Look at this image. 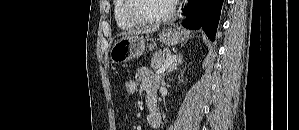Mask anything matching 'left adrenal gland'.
<instances>
[{"label":"left adrenal gland","mask_w":299,"mask_h":130,"mask_svg":"<svg viewBox=\"0 0 299 130\" xmlns=\"http://www.w3.org/2000/svg\"><path fill=\"white\" fill-rule=\"evenodd\" d=\"M182 60H183V58H182L181 55L176 56L174 62L169 67V69L166 71V74H169L170 72H172L173 70H175L177 68V66L182 63Z\"/></svg>","instance_id":"left-adrenal-gland-1"}]
</instances>
